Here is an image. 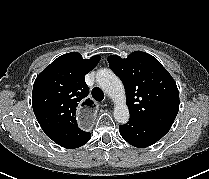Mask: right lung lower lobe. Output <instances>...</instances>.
I'll return each instance as SVG.
<instances>
[{
	"mask_svg": "<svg viewBox=\"0 0 209 179\" xmlns=\"http://www.w3.org/2000/svg\"><path fill=\"white\" fill-rule=\"evenodd\" d=\"M91 138L89 132L81 131L78 135L61 144L60 146L68 149L78 148L84 145Z\"/></svg>",
	"mask_w": 209,
	"mask_h": 179,
	"instance_id": "obj_1",
	"label": "right lung lower lobe"
}]
</instances>
